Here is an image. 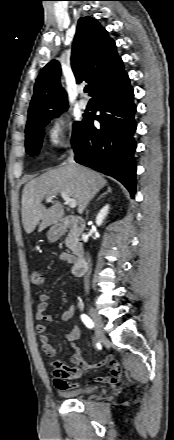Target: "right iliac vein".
<instances>
[{"mask_svg":"<svg viewBox=\"0 0 174 440\" xmlns=\"http://www.w3.org/2000/svg\"><path fill=\"white\" fill-rule=\"evenodd\" d=\"M90 316L93 319L95 329H96V340L98 342H104L106 340L103 330V322L101 317L96 314L92 309H89Z\"/></svg>","mask_w":174,"mask_h":440,"instance_id":"obj_1","label":"right iliac vein"}]
</instances>
